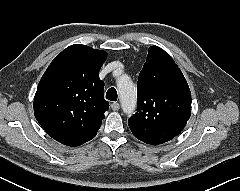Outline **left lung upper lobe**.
Segmentation results:
<instances>
[{
    "label": "left lung upper lobe",
    "mask_w": 240,
    "mask_h": 191,
    "mask_svg": "<svg viewBox=\"0 0 240 191\" xmlns=\"http://www.w3.org/2000/svg\"><path fill=\"white\" fill-rule=\"evenodd\" d=\"M191 114V93L173 59L151 46L139 74L137 112L128 120L133 135L152 145L177 136Z\"/></svg>",
    "instance_id": "1"
}]
</instances>
